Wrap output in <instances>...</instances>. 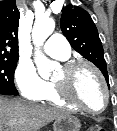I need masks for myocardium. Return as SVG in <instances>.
<instances>
[{"label": "myocardium", "instance_id": "f54148a6", "mask_svg": "<svg viewBox=\"0 0 117 131\" xmlns=\"http://www.w3.org/2000/svg\"><path fill=\"white\" fill-rule=\"evenodd\" d=\"M80 67H87L90 70H92L93 73L97 76V78L101 84L103 94H104V103H103V106L100 110L95 111V110L89 109L84 104H82L80 101H78L73 96V94L71 92L70 77H71L72 73ZM61 69L64 74L63 78H61L59 80H53V84L55 86L57 94L59 95V97L63 101H65L69 105L75 107L76 109H79V110L89 113V114H94V115L100 114L106 110V108L109 104V99H110L109 90H108V87H107V84H106L103 74L94 64H92L88 61H85V60H76V61H70V62L63 64Z\"/></svg>", "mask_w": 117, "mask_h": 131}]
</instances>
